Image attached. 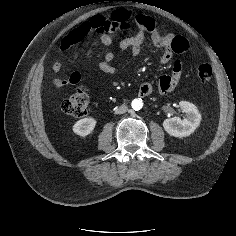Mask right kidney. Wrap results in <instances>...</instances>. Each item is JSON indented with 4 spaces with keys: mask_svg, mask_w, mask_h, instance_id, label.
Masks as SVG:
<instances>
[{
    "mask_svg": "<svg viewBox=\"0 0 236 236\" xmlns=\"http://www.w3.org/2000/svg\"><path fill=\"white\" fill-rule=\"evenodd\" d=\"M96 120L94 118H83L77 121L73 125V132L79 136L85 137L92 133L96 126Z\"/></svg>",
    "mask_w": 236,
    "mask_h": 236,
    "instance_id": "obj_1",
    "label": "right kidney"
}]
</instances>
